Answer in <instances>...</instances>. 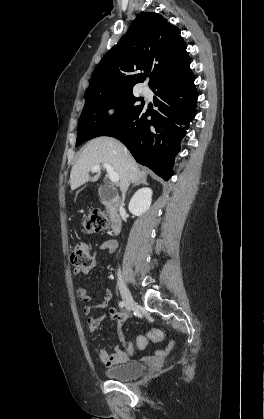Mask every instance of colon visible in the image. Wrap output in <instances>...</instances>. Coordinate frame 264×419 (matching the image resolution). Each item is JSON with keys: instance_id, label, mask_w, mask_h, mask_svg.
<instances>
[{"instance_id": "5ec220e1", "label": "colon", "mask_w": 264, "mask_h": 419, "mask_svg": "<svg viewBox=\"0 0 264 419\" xmlns=\"http://www.w3.org/2000/svg\"><path fill=\"white\" fill-rule=\"evenodd\" d=\"M107 227V217L98 211L89 214L83 224L84 230L88 233L100 232ZM70 262L77 268H90L94 262L90 244L86 241H79L70 254ZM156 337L157 332L150 331L147 334L139 335L134 342L130 343V345L134 350H141L144 349L149 342H154Z\"/></svg>"}]
</instances>
